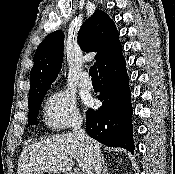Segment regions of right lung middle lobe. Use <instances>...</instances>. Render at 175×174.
Here are the masks:
<instances>
[{
    "label": "right lung middle lobe",
    "mask_w": 175,
    "mask_h": 174,
    "mask_svg": "<svg viewBox=\"0 0 175 174\" xmlns=\"http://www.w3.org/2000/svg\"><path fill=\"white\" fill-rule=\"evenodd\" d=\"M43 97L44 95L28 101V104H29L28 123L29 125H37V116H38L39 108L41 106Z\"/></svg>",
    "instance_id": "1"
}]
</instances>
